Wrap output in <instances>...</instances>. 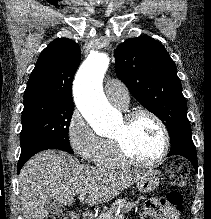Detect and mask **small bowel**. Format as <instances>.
Masks as SVG:
<instances>
[{"mask_svg": "<svg viewBox=\"0 0 211 219\" xmlns=\"http://www.w3.org/2000/svg\"><path fill=\"white\" fill-rule=\"evenodd\" d=\"M140 219H179L177 211L160 199H150L145 203Z\"/></svg>", "mask_w": 211, "mask_h": 219, "instance_id": "small-bowel-1", "label": "small bowel"}]
</instances>
